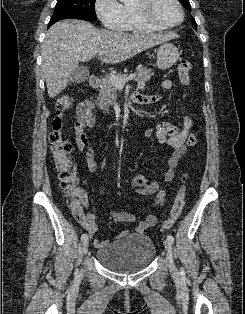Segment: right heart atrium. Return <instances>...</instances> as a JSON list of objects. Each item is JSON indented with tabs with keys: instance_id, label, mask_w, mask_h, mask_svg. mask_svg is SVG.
<instances>
[{
	"instance_id": "d8ad5b80",
	"label": "right heart atrium",
	"mask_w": 245,
	"mask_h": 314,
	"mask_svg": "<svg viewBox=\"0 0 245 314\" xmlns=\"http://www.w3.org/2000/svg\"><path fill=\"white\" fill-rule=\"evenodd\" d=\"M95 12L110 30L120 31L123 27V5L118 0H95Z\"/></svg>"
}]
</instances>
